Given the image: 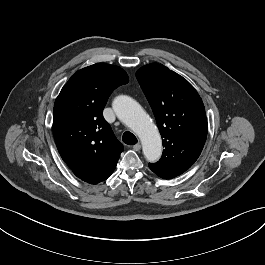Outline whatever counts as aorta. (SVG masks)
Instances as JSON below:
<instances>
[{"mask_svg":"<svg viewBox=\"0 0 265 265\" xmlns=\"http://www.w3.org/2000/svg\"><path fill=\"white\" fill-rule=\"evenodd\" d=\"M113 109L117 117L141 139L145 158L156 162L162 154L161 136L141 105L129 96L120 95L114 99Z\"/></svg>","mask_w":265,"mask_h":265,"instance_id":"1","label":"aorta"}]
</instances>
